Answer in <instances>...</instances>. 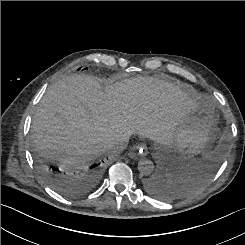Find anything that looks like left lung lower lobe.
Masks as SVG:
<instances>
[{
	"mask_svg": "<svg viewBox=\"0 0 245 245\" xmlns=\"http://www.w3.org/2000/svg\"><path fill=\"white\" fill-rule=\"evenodd\" d=\"M167 177V170L160 174L151 175L143 181V187L152 196L167 199L171 195L169 187L166 185Z\"/></svg>",
	"mask_w": 245,
	"mask_h": 245,
	"instance_id": "0a47b994",
	"label": "left lung lower lobe"
}]
</instances>
